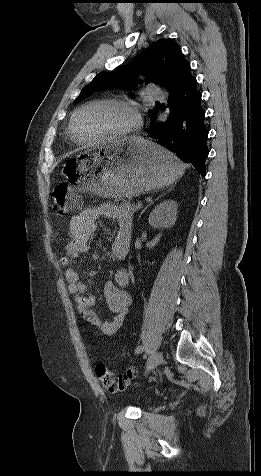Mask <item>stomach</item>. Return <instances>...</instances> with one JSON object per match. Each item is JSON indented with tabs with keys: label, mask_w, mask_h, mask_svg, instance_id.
Listing matches in <instances>:
<instances>
[{
	"label": "stomach",
	"mask_w": 261,
	"mask_h": 476,
	"mask_svg": "<svg viewBox=\"0 0 261 476\" xmlns=\"http://www.w3.org/2000/svg\"><path fill=\"white\" fill-rule=\"evenodd\" d=\"M65 179L104 197L132 198L172 185L185 166L160 145L136 136L112 144H93L66 161Z\"/></svg>",
	"instance_id": "0dacf381"
}]
</instances>
